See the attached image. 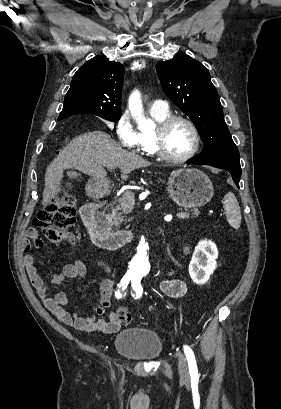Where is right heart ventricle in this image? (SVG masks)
Listing matches in <instances>:
<instances>
[{"instance_id":"e07e8e85","label":"right heart ventricle","mask_w":281,"mask_h":409,"mask_svg":"<svg viewBox=\"0 0 281 409\" xmlns=\"http://www.w3.org/2000/svg\"><path fill=\"white\" fill-rule=\"evenodd\" d=\"M151 115L154 118L155 122H161L167 118L170 114L168 111H151ZM136 149L148 155H153V149L151 147L149 132L140 131L137 133V143Z\"/></svg>"}]
</instances>
